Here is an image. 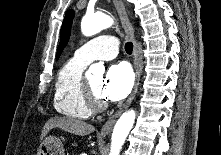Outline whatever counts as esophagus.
Listing matches in <instances>:
<instances>
[{
	"label": "esophagus",
	"instance_id": "1",
	"mask_svg": "<svg viewBox=\"0 0 221 155\" xmlns=\"http://www.w3.org/2000/svg\"><path fill=\"white\" fill-rule=\"evenodd\" d=\"M113 4H114L115 9L119 15V18L121 20V24L125 30V33L131 39V41L133 42V45H134V47H133V64H134V70H135V84H134L133 90H132L129 98L126 100V102L106 121V123L101 128V131H100L101 136H107L111 132L117 118L122 114V112L130 105V103L134 99V97L137 93L139 81H140L138 45H137V40H136L135 34H134V28L129 20L124 1L123 0H113Z\"/></svg>",
	"mask_w": 221,
	"mask_h": 155
}]
</instances>
